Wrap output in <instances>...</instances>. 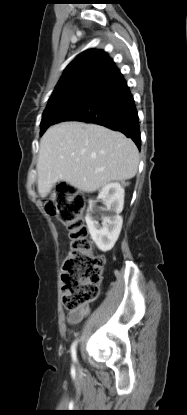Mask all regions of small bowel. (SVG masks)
I'll return each instance as SVG.
<instances>
[{"instance_id": "obj_1", "label": "small bowel", "mask_w": 187, "mask_h": 415, "mask_svg": "<svg viewBox=\"0 0 187 415\" xmlns=\"http://www.w3.org/2000/svg\"><path fill=\"white\" fill-rule=\"evenodd\" d=\"M89 312L88 306H83L77 310L68 313V321L71 324L79 323Z\"/></svg>"}]
</instances>
